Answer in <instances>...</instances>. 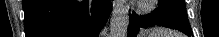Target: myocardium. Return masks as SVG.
I'll return each instance as SVG.
<instances>
[{
    "label": "myocardium",
    "mask_w": 219,
    "mask_h": 37,
    "mask_svg": "<svg viewBox=\"0 0 219 37\" xmlns=\"http://www.w3.org/2000/svg\"><path fill=\"white\" fill-rule=\"evenodd\" d=\"M146 2H153V1H146ZM143 9H144V10H147V9H148V6H147V5H144V6H143Z\"/></svg>",
    "instance_id": "myocardium-1"
}]
</instances>
